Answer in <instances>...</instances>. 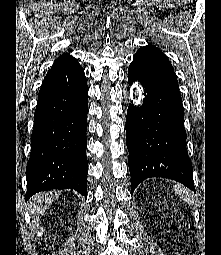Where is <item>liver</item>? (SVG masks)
Segmentation results:
<instances>
[{"label":"liver","mask_w":221,"mask_h":255,"mask_svg":"<svg viewBox=\"0 0 221 255\" xmlns=\"http://www.w3.org/2000/svg\"><path fill=\"white\" fill-rule=\"evenodd\" d=\"M60 195V192H41L34 195L29 201V210L34 220L40 218L46 208L51 205L56 197Z\"/></svg>","instance_id":"1"}]
</instances>
